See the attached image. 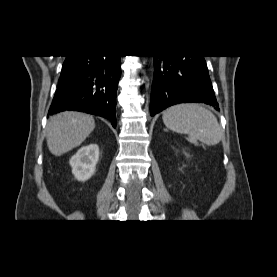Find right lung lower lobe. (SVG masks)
<instances>
[{
	"mask_svg": "<svg viewBox=\"0 0 277 277\" xmlns=\"http://www.w3.org/2000/svg\"><path fill=\"white\" fill-rule=\"evenodd\" d=\"M121 56H67L49 114L82 111L110 120L116 127V93Z\"/></svg>",
	"mask_w": 277,
	"mask_h": 277,
	"instance_id": "obj_1",
	"label": "right lung lower lobe"
}]
</instances>
